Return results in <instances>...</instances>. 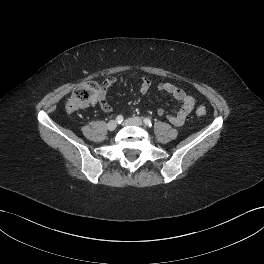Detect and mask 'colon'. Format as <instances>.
Wrapping results in <instances>:
<instances>
[{"instance_id": "obj_1", "label": "colon", "mask_w": 264, "mask_h": 264, "mask_svg": "<svg viewBox=\"0 0 264 264\" xmlns=\"http://www.w3.org/2000/svg\"><path fill=\"white\" fill-rule=\"evenodd\" d=\"M101 87L94 81H88L79 85L67 103V109L72 112L79 108H84L97 101ZM198 116H204L206 109L200 106L196 110Z\"/></svg>"}]
</instances>
